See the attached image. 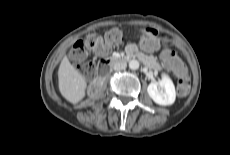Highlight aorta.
Returning a JSON list of instances; mask_svg holds the SVG:
<instances>
[{
	"label": "aorta",
	"mask_w": 230,
	"mask_h": 155,
	"mask_svg": "<svg viewBox=\"0 0 230 155\" xmlns=\"http://www.w3.org/2000/svg\"><path fill=\"white\" fill-rule=\"evenodd\" d=\"M139 62L137 61V60H131V61H129V68L131 69V70H137L138 68H139Z\"/></svg>",
	"instance_id": "762f6f07"
}]
</instances>
